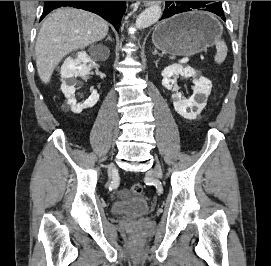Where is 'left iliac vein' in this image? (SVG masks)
Here are the masks:
<instances>
[{
	"mask_svg": "<svg viewBox=\"0 0 271 266\" xmlns=\"http://www.w3.org/2000/svg\"><path fill=\"white\" fill-rule=\"evenodd\" d=\"M154 174H155L156 178H158V179L162 178L161 168L158 165L155 168Z\"/></svg>",
	"mask_w": 271,
	"mask_h": 266,
	"instance_id": "4c4485c4",
	"label": "left iliac vein"
}]
</instances>
